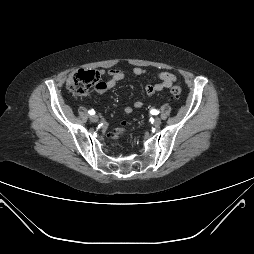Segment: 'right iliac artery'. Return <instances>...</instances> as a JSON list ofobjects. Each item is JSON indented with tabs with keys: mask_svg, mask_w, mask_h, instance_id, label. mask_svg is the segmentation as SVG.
I'll list each match as a JSON object with an SVG mask.
<instances>
[{
	"mask_svg": "<svg viewBox=\"0 0 254 254\" xmlns=\"http://www.w3.org/2000/svg\"><path fill=\"white\" fill-rule=\"evenodd\" d=\"M88 113H89L90 115H94V114H95V111L92 109V110H89Z\"/></svg>",
	"mask_w": 254,
	"mask_h": 254,
	"instance_id": "obj_1",
	"label": "right iliac artery"
}]
</instances>
